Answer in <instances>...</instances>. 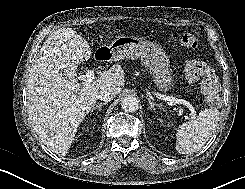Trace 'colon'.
Here are the masks:
<instances>
[{
    "label": "colon",
    "mask_w": 245,
    "mask_h": 189,
    "mask_svg": "<svg viewBox=\"0 0 245 189\" xmlns=\"http://www.w3.org/2000/svg\"><path fill=\"white\" fill-rule=\"evenodd\" d=\"M176 42L189 49L198 47L197 39L190 34L177 37ZM184 75L189 82H201V87L204 92L203 102L206 106H218L220 102V83L217 76L206 62L199 58L188 59L184 65Z\"/></svg>",
    "instance_id": "1"
}]
</instances>
